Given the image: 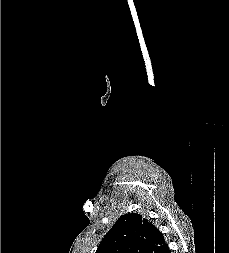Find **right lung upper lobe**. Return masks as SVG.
<instances>
[{
  "mask_svg": "<svg viewBox=\"0 0 229 253\" xmlns=\"http://www.w3.org/2000/svg\"><path fill=\"white\" fill-rule=\"evenodd\" d=\"M162 233L140 214L122 215L102 239L96 253H165Z\"/></svg>",
  "mask_w": 229,
  "mask_h": 253,
  "instance_id": "cb5924a9",
  "label": "right lung upper lobe"
}]
</instances>
